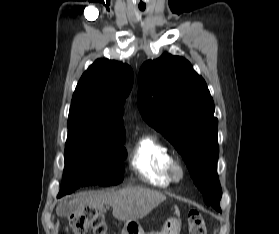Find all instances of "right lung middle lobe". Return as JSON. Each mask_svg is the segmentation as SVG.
Instances as JSON below:
<instances>
[{
    "mask_svg": "<svg viewBox=\"0 0 279 234\" xmlns=\"http://www.w3.org/2000/svg\"><path fill=\"white\" fill-rule=\"evenodd\" d=\"M65 169L58 197L80 186L117 185L123 180L125 136H102L88 124L68 121Z\"/></svg>",
    "mask_w": 279,
    "mask_h": 234,
    "instance_id": "right-lung-middle-lobe-1",
    "label": "right lung middle lobe"
}]
</instances>
